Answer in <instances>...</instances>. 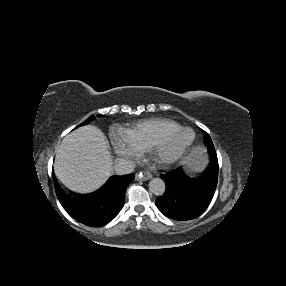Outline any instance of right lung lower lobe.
I'll use <instances>...</instances> for the list:
<instances>
[{"label":"right lung lower lobe","mask_w":286,"mask_h":286,"mask_svg":"<svg viewBox=\"0 0 286 286\" xmlns=\"http://www.w3.org/2000/svg\"><path fill=\"white\" fill-rule=\"evenodd\" d=\"M134 174L113 176L99 190L83 196L66 194L54 178L57 197L68 212L78 222L92 227L104 226L120 212L125 201V191Z\"/></svg>","instance_id":"right-lung-lower-lobe-1"}]
</instances>
